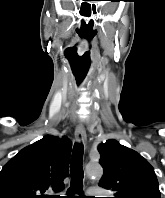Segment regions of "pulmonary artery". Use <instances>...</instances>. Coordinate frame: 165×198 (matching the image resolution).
<instances>
[{
  "mask_svg": "<svg viewBox=\"0 0 165 198\" xmlns=\"http://www.w3.org/2000/svg\"><path fill=\"white\" fill-rule=\"evenodd\" d=\"M99 189H101V187H93V188H91L90 190H91V191H95V190H99Z\"/></svg>",
  "mask_w": 165,
  "mask_h": 198,
  "instance_id": "1",
  "label": "pulmonary artery"
}]
</instances>
